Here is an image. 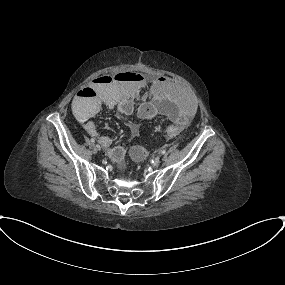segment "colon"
Returning <instances> with one entry per match:
<instances>
[{
  "mask_svg": "<svg viewBox=\"0 0 285 285\" xmlns=\"http://www.w3.org/2000/svg\"><path fill=\"white\" fill-rule=\"evenodd\" d=\"M120 77L122 79L131 80V81H134V80L138 79L135 74L129 73V72H126V73L122 74ZM87 95H90V97H87L88 100L93 101V100L96 99V95L94 93L87 94ZM170 129L171 130H175V127L171 126ZM145 155H146V152H145L143 147L138 146V145L132 147V149H131V157L133 159L140 161V160L144 159Z\"/></svg>",
  "mask_w": 285,
  "mask_h": 285,
  "instance_id": "1",
  "label": "colon"
}]
</instances>
